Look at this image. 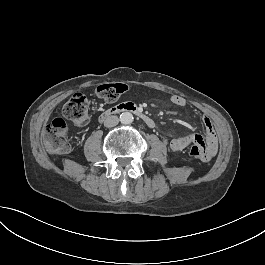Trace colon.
<instances>
[{
  "label": "colon",
  "instance_id": "5ec220e1",
  "mask_svg": "<svg viewBox=\"0 0 265 265\" xmlns=\"http://www.w3.org/2000/svg\"><path fill=\"white\" fill-rule=\"evenodd\" d=\"M127 90L128 88L124 84H106L97 89V95L107 102H113L118 100ZM88 109L89 102L87 97L81 93H75L64 104L63 114L65 118H55L43 130L42 141L47 152L51 154H64L69 150L67 119L77 125L85 126L90 121ZM201 149L192 142L189 147V153L192 157L200 159Z\"/></svg>",
  "mask_w": 265,
  "mask_h": 265
}]
</instances>
